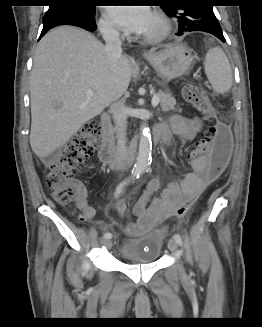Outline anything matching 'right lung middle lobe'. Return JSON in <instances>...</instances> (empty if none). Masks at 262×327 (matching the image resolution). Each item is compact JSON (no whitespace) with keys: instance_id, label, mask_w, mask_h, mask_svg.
Masks as SVG:
<instances>
[{"instance_id":"right-lung-middle-lobe-1","label":"right lung middle lobe","mask_w":262,"mask_h":327,"mask_svg":"<svg viewBox=\"0 0 262 327\" xmlns=\"http://www.w3.org/2000/svg\"><path fill=\"white\" fill-rule=\"evenodd\" d=\"M64 1V4L57 5V6H50L49 10L51 9H67V10H73L77 11L86 15H95V8L96 6L90 4V5H76L73 4L74 0H59Z\"/></svg>"}]
</instances>
